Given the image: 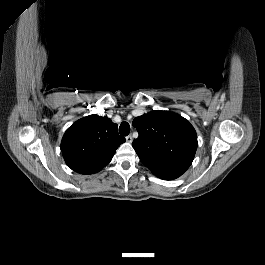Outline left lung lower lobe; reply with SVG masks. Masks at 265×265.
Segmentation results:
<instances>
[{"label": "left lung lower lobe", "instance_id": "left-lung-lower-lobe-1", "mask_svg": "<svg viewBox=\"0 0 265 265\" xmlns=\"http://www.w3.org/2000/svg\"><path fill=\"white\" fill-rule=\"evenodd\" d=\"M192 162H179L165 167L150 169L153 174L164 180H173L181 176Z\"/></svg>", "mask_w": 265, "mask_h": 265}]
</instances>
